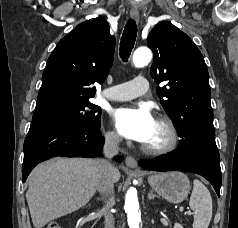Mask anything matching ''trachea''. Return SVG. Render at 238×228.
Returning a JSON list of instances; mask_svg holds the SVG:
<instances>
[{"label":"trachea","instance_id":"trachea-1","mask_svg":"<svg viewBox=\"0 0 238 228\" xmlns=\"http://www.w3.org/2000/svg\"><path fill=\"white\" fill-rule=\"evenodd\" d=\"M137 37V26L134 20H129L124 28L120 42V57L126 61L134 47Z\"/></svg>","mask_w":238,"mask_h":228}]
</instances>
